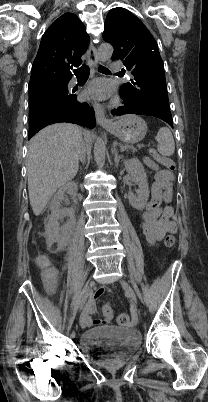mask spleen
<instances>
[{"mask_svg": "<svg viewBox=\"0 0 208 402\" xmlns=\"http://www.w3.org/2000/svg\"><path fill=\"white\" fill-rule=\"evenodd\" d=\"M155 140L158 142L157 150L161 156H173L175 144L169 128H160Z\"/></svg>", "mask_w": 208, "mask_h": 402, "instance_id": "obj_1", "label": "spleen"}]
</instances>
